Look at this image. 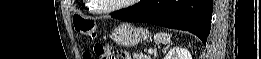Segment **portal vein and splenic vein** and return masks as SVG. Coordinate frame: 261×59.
<instances>
[{
  "instance_id": "1",
  "label": "portal vein and splenic vein",
  "mask_w": 261,
  "mask_h": 59,
  "mask_svg": "<svg viewBox=\"0 0 261 59\" xmlns=\"http://www.w3.org/2000/svg\"><path fill=\"white\" fill-rule=\"evenodd\" d=\"M153 52H154V51H153L152 49H149V50H148V53H149V54H153Z\"/></svg>"
}]
</instances>
